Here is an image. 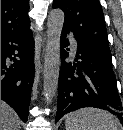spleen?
<instances>
[{
  "instance_id": "1",
  "label": "spleen",
  "mask_w": 123,
  "mask_h": 130,
  "mask_svg": "<svg viewBox=\"0 0 123 130\" xmlns=\"http://www.w3.org/2000/svg\"><path fill=\"white\" fill-rule=\"evenodd\" d=\"M66 130H118L112 114L97 108H83L65 117Z\"/></svg>"
}]
</instances>
